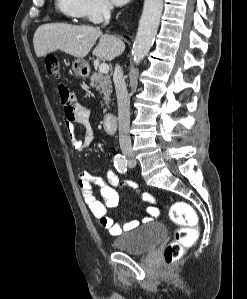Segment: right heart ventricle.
Wrapping results in <instances>:
<instances>
[{
	"label": "right heart ventricle",
	"instance_id": "obj_1",
	"mask_svg": "<svg viewBox=\"0 0 247 299\" xmlns=\"http://www.w3.org/2000/svg\"><path fill=\"white\" fill-rule=\"evenodd\" d=\"M56 8L68 18L71 19L80 18L79 0H56Z\"/></svg>",
	"mask_w": 247,
	"mask_h": 299
}]
</instances>
